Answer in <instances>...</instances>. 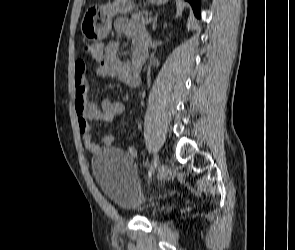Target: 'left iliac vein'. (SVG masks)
Segmentation results:
<instances>
[{"mask_svg":"<svg viewBox=\"0 0 295 250\" xmlns=\"http://www.w3.org/2000/svg\"><path fill=\"white\" fill-rule=\"evenodd\" d=\"M154 160L159 161V156L157 154L154 156ZM168 173H169V168L166 164L162 163V164L158 165V168H157V179L158 180H162V179L166 178L168 176Z\"/></svg>","mask_w":295,"mask_h":250,"instance_id":"4c4485c4","label":"left iliac vein"}]
</instances>
